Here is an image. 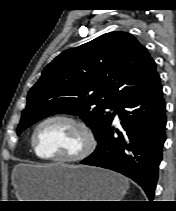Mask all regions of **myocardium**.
Instances as JSON below:
<instances>
[{"instance_id": "obj_1", "label": "myocardium", "mask_w": 176, "mask_h": 211, "mask_svg": "<svg viewBox=\"0 0 176 211\" xmlns=\"http://www.w3.org/2000/svg\"><path fill=\"white\" fill-rule=\"evenodd\" d=\"M52 121H66L77 126L82 131L84 135V146L78 154L73 155V156H68V157H47L39 153L37 144H36L37 134L42 126ZM96 144H97V140L92 128L83 120L71 115H66V114H56V115H52L43 119L36 125L31 135V146L35 155L41 160L58 162V163L79 162L85 159L86 157H88L95 150Z\"/></svg>"}]
</instances>
